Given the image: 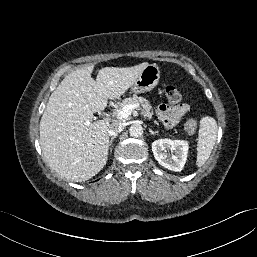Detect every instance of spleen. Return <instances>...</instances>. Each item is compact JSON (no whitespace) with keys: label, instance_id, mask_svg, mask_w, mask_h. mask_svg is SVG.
Returning a JSON list of instances; mask_svg holds the SVG:
<instances>
[{"label":"spleen","instance_id":"1","mask_svg":"<svg viewBox=\"0 0 257 257\" xmlns=\"http://www.w3.org/2000/svg\"><path fill=\"white\" fill-rule=\"evenodd\" d=\"M218 126L216 120L205 116L200 120L197 142V166L201 167L208 160L216 142Z\"/></svg>","mask_w":257,"mask_h":257}]
</instances>
